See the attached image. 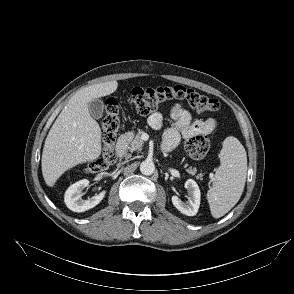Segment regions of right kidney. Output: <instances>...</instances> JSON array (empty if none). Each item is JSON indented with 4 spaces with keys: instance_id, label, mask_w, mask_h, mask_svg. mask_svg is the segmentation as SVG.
<instances>
[{
    "instance_id": "1",
    "label": "right kidney",
    "mask_w": 294,
    "mask_h": 294,
    "mask_svg": "<svg viewBox=\"0 0 294 294\" xmlns=\"http://www.w3.org/2000/svg\"><path fill=\"white\" fill-rule=\"evenodd\" d=\"M89 180L83 179L72 184L65 192L64 202L67 207L74 212H84L94 208L104 198L106 191H102L90 199H82V190L89 185Z\"/></svg>"
}]
</instances>
